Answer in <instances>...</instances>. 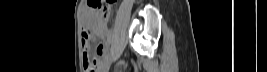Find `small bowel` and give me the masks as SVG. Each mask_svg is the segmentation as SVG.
I'll return each mask as SVG.
<instances>
[{"instance_id":"small-bowel-1","label":"small bowel","mask_w":267,"mask_h":72,"mask_svg":"<svg viewBox=\"0 0 267 72\" xmlns=\"http://www.w3.org/2000/svg\"><path fill=\"white\" fill-rule=\"evenodd\" d=\"M97 35L103 39H108L109 37V29L107 27V25L105 23H100L96 29H95ZM90 43V39H89V34L87 31H84L83 33V36H82V47H86L88 44ZM105 55V46L104 45H101L99 48H98V56H97V65L96 67L98 69H94L93 72H102L101 69H102V66H103V61H102V57ZM84 59H83V63H84Z\"/></svg>"}]
</instances>
